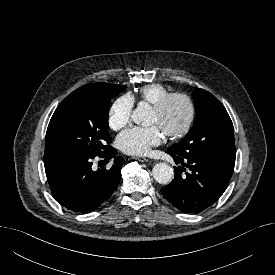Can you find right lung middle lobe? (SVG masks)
I'll list each match as a JSON object with an SVG mask.
<instances>
[{
	"label": "right lung middle lobe",
	"mask_w": 275,
	"mask_h": 275,
	"mask_svg": "<svg viewBox=\"0 0 275 275\" xmlns=\"http://www.w3.org/2000/svg\"><path fill=\"white\" fill-rule=\"evenodd\" d=\"M126 86L108 84L75 90L55 110L46 132L45 154L102 155L111 143L110 101Z\"/></svg>",
	"instance_id": "obj_1"
}]
</instances>
